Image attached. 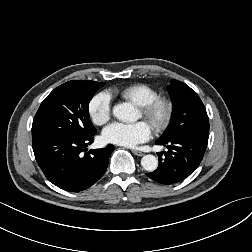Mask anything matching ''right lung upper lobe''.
I'll return each instance as SVG.
<instances>
[{"mask_svg":"<svg viewBox=\"0 0 252 252\" xmlns=\"http://www.w3.org/2000/svg\"><path fill=\"white\" fill-rule=\"evenodd\" d=\"M86 82H90V83H96V82H93V81H86Z\"/></svg>","mask_w":252,"mask_h":252,"instance_id":"obj_1","label":"right lung upper lobe"}]
</instances>
